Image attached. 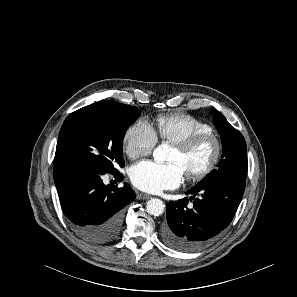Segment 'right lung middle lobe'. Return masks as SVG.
Wrapping results in <instances>:
<instances>
[{
  "instance_id": "obj_1",
  "label": "right lung middle lobe",
  "mask_w": 297,
  "mask_h": 297,
  "mask_svg": "<svg viewBox=\"0 0 297 297\" xmlns=\"http://www.w3.org/2000/svg\"><path fill=\"white\" fill-rule=\"evenodd\" d=\"M140 115L134 106L115 102L111 108L83 107L71 113L59 133L54 164L76 163L103 174L123 167L125 131Z\"/></svg>"
}]
</instances>
